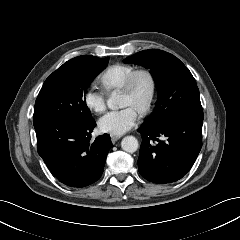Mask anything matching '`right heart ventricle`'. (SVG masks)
<instances>
[{
  "instance_id": "e07e8e85",
  "label": "right heart ventricle",
  "mask_w": 240,
  "mask_h": 240,
  "mask_svg": "<svg viewBox=\"0 0 240 240\" xmlns=\"http://www.w3.org/2000/svg\"><path fill=\"white\" fill-rule=\"evenodd\" d=\"M136 68L130 64L116 63L106 68L99 76V81L103 88L108 91L121 90L128 76Z\"/></svg>"
}]
</instances>
